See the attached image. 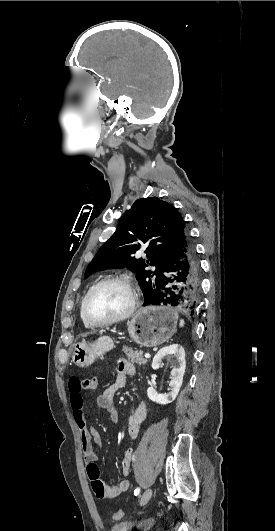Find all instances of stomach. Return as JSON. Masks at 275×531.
<instances>
[{"mask_svg": "<svg viewBox=\"0 0 275 531\" xmlns=\"http://www.w3.org/2000/svg\"><path fill=\"white\" fill-rule=\"evenodd\" d=\"M178 313L160 301L156 307H145L135 313L128 321V333L141 347H157L174 335L177 327ZM110 337H100L94 343H75L73 345L72 363L77 367H90L96 359H103L107 351L113 349Z\"/></svg>", "mask_w": 275, "mask_h": 531, "instance_id": "obj_1", "label": "stomach"}]
</instances>
